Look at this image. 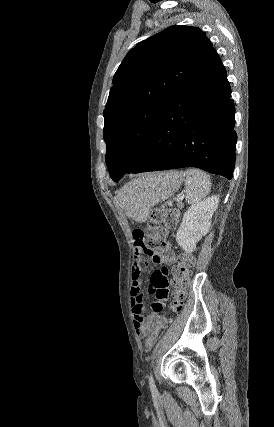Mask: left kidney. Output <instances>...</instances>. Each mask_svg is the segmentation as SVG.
<instances>
[{"label": "left kidney", "mask_w": 274, "mask_h": 427, "mask_svg": "<svg viewBox=\"0 0 274 427\" xmlns=\"http://www.w3.org/2000/svg\"><path fill=\"white\" fill-rule=\"evenodd\" d=\"M219 196H211L199 204L191 206L183 215L182 223L176 233V241L186 253L196 249V243L209 231L211 217L216 212Z\"/></svg>", "instance_id": "1"}]
</instances>
